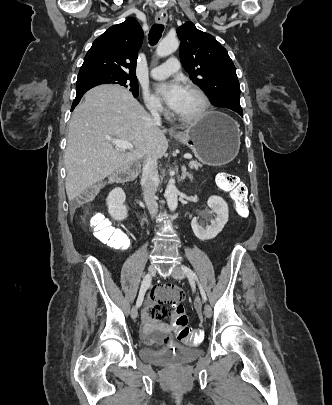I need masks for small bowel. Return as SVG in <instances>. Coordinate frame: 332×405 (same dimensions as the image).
<instances>
[{
	"label": "small bowel",
	"mask_w": 332,
	"mask_h": 405,
	"mask_svg": "<svg viewBox=\"0 0 332 405\" xmlns=\"http://www.w3.org/2000/svg\"><path fill=\"white\" fill-rule=\"evenodd\" d=\"M186 295L184 288H164L162 286L155 287L150 294L144 312H143V343L144 344H165V347H170V335L167 331L170 330V322L166 324L159 323V320L166 321L165 315L167 311H175L178 306H182L183 297ZM176 299L178 306L171 308L169 301ZM196 307L199 308L200 303L196 301ZM165 306V308L161 307Z\"/></svg>",
	"instance_id": "small-bowel-1"
}]
</instances>
